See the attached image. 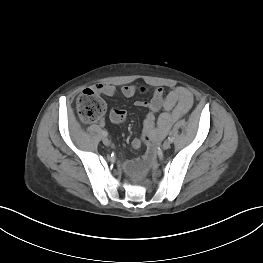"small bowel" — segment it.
Segmentation results:
<instances>
[{
    "mask_svg": "<svg viewBox=\"0 0 263 263\" xmlns=\"http://www.w3.org/2000/svg\"><path fill=\"white\" fill-rule=\"evenodd\" d=\"M94 90L108 97L116 94V88L110 84H98ZM146 91V88L134 85H126L121 88V94L127 98L133 97L137 92L145 93ZM192 105L193 95L184 87H176L168 93H165L161 87L155 88L149 101L136 102V106L147 108L149 112L144 120L142 136L135 138L132 146L137 149L144 142H155L164 137L172 124L184 116ZM160 111L161 113L156 116ZM126 117L127 112L124 109L114 108L110 112V120L115 124L123 123ZM124 168L128 173H135L138 170V163L126 161Z\"/></svg>",
    "mask_w": 263,
    "mask_h": 263,
    "instance_id": "1",
    "label": "small bowel"
}]
</instances>
